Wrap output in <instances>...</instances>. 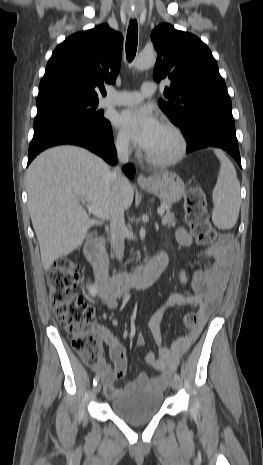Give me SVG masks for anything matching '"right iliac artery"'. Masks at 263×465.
I'll use <instances>...</instances> for the list:
<instances>
[{
    "instance_id": "obj_1",
    "label": "right iliac artery",
    "mask_w": 263,
    "mask_h": 465,
    "mask_svg": "<svg viewBox=\"0 0 263 465\" xmlns=\"http://www.w3.org/2000/svg\"><path fill=\"white\" fill-rule=\"evenodd\" d=\"M99 381V375H96L93 379V385L95 386Z\"/></svg>"
}]
</instances>
